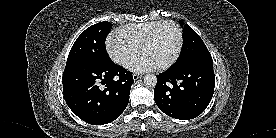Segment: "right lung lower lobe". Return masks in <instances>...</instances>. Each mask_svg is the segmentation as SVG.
<instances>
[{
	"label": "right lung lower lobe",
	"instance_id": "98d812e1",
	"mask_svg": "<svg viewBox=\"0 0 276 138\" xmlns=\"http://www.w3.org/2000/svg\"><path fill=\"white\" fill-rule=\"evenodd\" d=\"M132 73L114 62H79L65 67L64 98L83 121L103 125L117 119L129 102Z\"/></svg>",
	"mask_w": 276,
	"mask_h": 138
}]
</instances>
